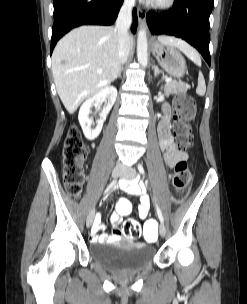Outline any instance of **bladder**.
<instances>
[{
    "mask_svg": "<svg viewBox=\"0 0 247 304\" xmlns=\"http://www.w3.org/2000/svg\"><path fill=\"white\" fill-rule=\"evenodd\" d=\"M91 258L111 270H139L155 257L154 247L139 243L100 242L89 247Z\"/></svg>",
    "mask_w": 247,
    "mask_h": 304,
    "instance_id": "1",
    "label": "bladder"
}]
</instances>
